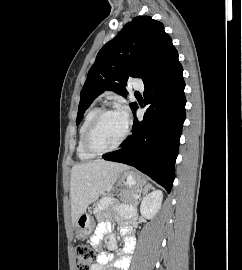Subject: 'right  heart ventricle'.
Returning <instances> with one entry per match:
<instances>
[{
	"label": "right heart ventricle",
	"mask_w": 242,
	"mask_h": 270,
	"mask_svg": "<svg viewBox=\"0 0 242 270\" xmlns=\"http://www.w3.org/2000/svg\"><path fill=\"white\" fill-rule=\"evenodd\" d=\"M98 107H92L85 115L83 122L79 129V136H78V143H77V155L81 160H89L92 159L94 156L89 154L85 151L83 147V138L85 131L91 122V120L94 118V116L99 112Z\"/></svg>",
	"instance_id": "right-heart-ventricle-1"
}]
</instances>
